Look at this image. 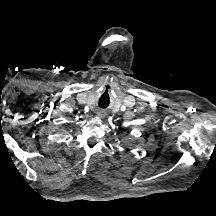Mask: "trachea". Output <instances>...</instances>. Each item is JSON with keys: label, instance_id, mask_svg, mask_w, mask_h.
Here are the masks:
<instances>
[{"label": "trachea", "instance_id": "trachea-1", "mask_svg": "<svg viewBox=\"0 0 216 216\" xmlns=\"http://www.w3.org/2000/svg\"><path fill=\"white\" fill-rule=\"evenodd\" d=\"M99 107L105 108V107H107V105L99 103Z\"/></svg>", "mask_w": 216, "mask_h": 216}]
</instances>
